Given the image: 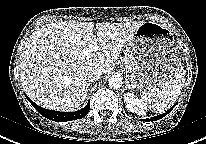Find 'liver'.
Returning a JSON list of instances; mask_svg holds the SVG:
<instances>
[{"label":"liver","mask_w":206,"mask_h":144,"mask_svg":"<svg viewBox=\"0 0 206 144\" xmlns=\"http://www.w3.org/2000/svg\"><path fill=\"white\" fill-rule=\"evenodd\" d=\"M143 22H55L38 28L29 39L20 61V81L26 94L46 109L74 111L87 97V74L97 68L113 70L120 51ZM99 43L101 52L83 57L89 44Z\"/></svg>","instance_id":"1"}]
</instances>
